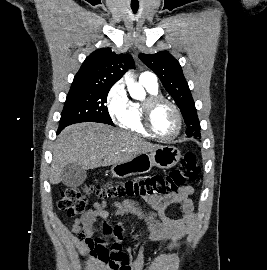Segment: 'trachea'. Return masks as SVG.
<instances>
[{"label": "trachea", "mask_w": 267, "mask_h": 270, "mask_svg": "<svg viewBox=\"0 0 267 270\" xmlns=\"http://www.w3.org/2000/svg\"><path fill=\"white\" fill-rule=\"evenodd\" d=\"M132 10H133L134 13H136L137 10H138V6L137 7L132 6Z\"/></svg>", "instance_id": "obj_1"}]
</instances>
